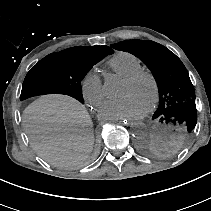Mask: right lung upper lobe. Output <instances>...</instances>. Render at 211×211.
Listing matches in <instances>:
<instances>
[{"label":"right lung upper lobe","instance_id":"right-lung-upper-lobe-1","mask_svg":"<svg viewBox=\"0 0 211 211\" xmlns=\"http://www.w3.org/2000/svg\"><path fill=\"white\" fill-rule=\"evenodd\" d=\"M69 51L79 53V54H102L107 56L108 54H113L114 51L108 46H77L67 49Z\"/></svg>","mask_w":211,"mask_h":211}]
</instances>
